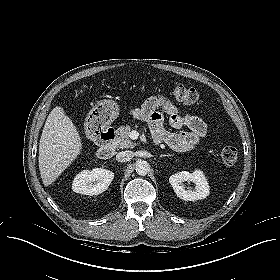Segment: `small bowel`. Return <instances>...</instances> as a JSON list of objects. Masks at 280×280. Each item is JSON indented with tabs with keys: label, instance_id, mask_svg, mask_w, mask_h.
<instances>
[{
	"label": "small bowel",
	"instance_id": "obj_1",
	"mask_svg": "<svg viewBox=\"0 0 280 280\" xmlns=\"http://www.w3.org/2000/svg\"><path fill=\"white\" fill-rule=\"evenodd\" d=\"M131 114L149 124L156 140L164 141L178 152L190 151L208 132L206 123L200 117L184 112L163 96L148 98L140 107L133 108ZM166 120L173 129L185 126L188 130L171 132L165 127Z\"/></svg>",
	"mask_w": 280,
	"mask_h": 280
}]
</instances>
